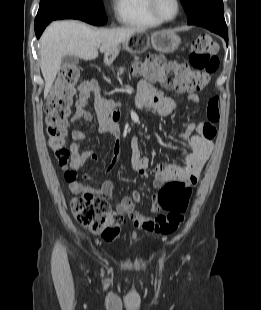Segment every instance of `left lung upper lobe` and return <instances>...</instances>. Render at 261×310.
Returning <instances> with one entry per match:
<instances>
[{"instance_id":"1","label":"left lung upper lobe","mask_w":261,"mask_h":310,"mask_svg":"<svg viewBox=\"0 0 261 310\" xmlns=\"http://www.w3.org/2000/svg\"><path fill=\"white\" fill-rule=\"evenodd\" d=\"M188 16V24L213 21L226 25L222 0H180Z\"/></svg>"}]
</instances>
